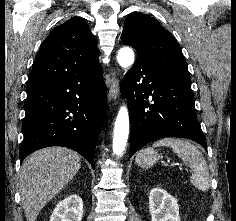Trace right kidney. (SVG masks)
Instances as JSON below:
<instances>
[{
  "mask_svg": "<svg viewBox=\"0 0 236 221\" xmlns=\"http://www.w3.org/2000/svg\"><path fill=\"white\" fill-rule=\"evenodd\" d=\"M82 216V198L76 194H72L56 205L50 221H81Z\"/></svg>",
  "mask_w": 236,
  "mask_h": 221,
  "instance_id": "right-kidney-1",
  "label": "right kidney"
}]
</instances>
